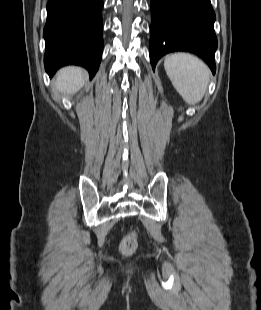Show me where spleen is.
<instances>
[{"instance_id":"spleen-1","label":"spleen","mask_w":261,"mask_h":310,"mask_svg":"<svg viewBox=\"0 0 261 310\" xmlns=\"http://www.w3.org/2000/svg\"><path fill=\"white\" fill-rule=\"evenodd\" d=\"M164 68L186 103L194 105L203 98L210 80V69L202 60L188 53H173L165 57Z\"/></svg>"}]
</instances>
